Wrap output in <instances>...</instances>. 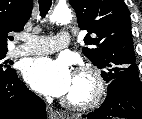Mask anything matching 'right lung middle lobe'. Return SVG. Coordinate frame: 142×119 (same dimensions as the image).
Masks as SVG:
<instances>
[{"label":"right lung middle lobe","instance_id":"right-lung-middle-lobe-1","mask_svg":"<svg viewBox=\"0 0 142 119\" xmlns=\"http://www.w3.org/2000/svg\"><path fill=\"white\" fill-rule=\"evenodd\" d=\"M7 51L0 52V78H6L15 72L14 69H11L7 64L8 60H5V55Z\"/></svg>","mask_w":142,"mask_h":119}]
</instances>
